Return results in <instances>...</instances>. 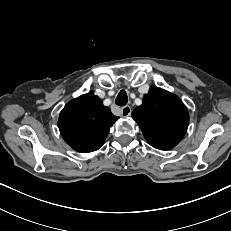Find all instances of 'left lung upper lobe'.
Here are the masks:
<instances>
[{"label": "left lung upper lobe", "instance_id": "1", "mask_svg": "<svg viewBox=\"0 0 231 231\" xmlns=\"http://www.w3.org/2000/svg\"><path fill=\"white\" fill-rule=\"evenodd\" d=\"M132 117L148 143L160 150L175 147L189 124L187 107L180 98L156 86H151L142 105L133 110Z\"/></svg>", "mask_w": 231, "mask_h": 231}]
</instances>
